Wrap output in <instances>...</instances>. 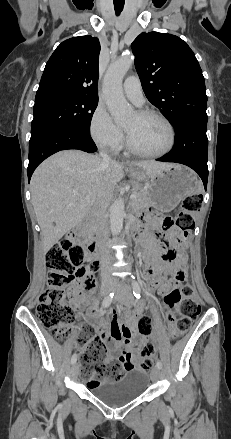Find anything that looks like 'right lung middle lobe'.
<instances>
[{
    "instance_id": "1",
    "label": "right lung middle lobe",
    "mask_w": 231,
    "mask_h": 439,
    "mask_svg": "<svg viewBox=\"0 0 231 439\" xmlns=\"http://www.w3.org/2000/svg\"><path fill=\"white\" fill-rule=\"evenodd\" d=\"M98 99L80 95L56 94L35 99L31 138L50 129L71 126L90 132Z\"/></svg>"
}]
</instances>
